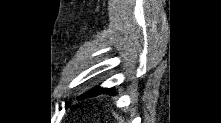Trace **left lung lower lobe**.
<instances>
[{
  "mask_svg": "<svg viewBox=\"0 0 221 123\" xmlns=\"http://www.w3.org/2000/svg\"><path fill=\"white\" fill-rule=\"evenodd\" d=\"M105 92H108V93L112 92V93H114L112 88L108 89V88H98V87H95L90 92L83 94L80 98H85V97H90V96H94V95H99V94L105 93Z\"/></svg>",
  "mask_w": 221,
  "mask_h": 123,
  "instance_id": "1",
  "label": "left lung lower lobe"
}]
</instances>
